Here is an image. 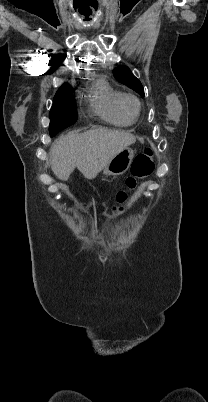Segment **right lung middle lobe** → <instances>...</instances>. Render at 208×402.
Segmentation results:
<instances>
[{
    "label": "right lung middle lobe",
    "instance_id": "dd1d6c3e",
    "mask_svg": "<svg viewBox=\"0 0 208 402\" xmlns=\"http://www.w3.org/2000/svg\"><path fill=\"white\" fill-rule=\"evenodd\" d=\"M76 120L77 112L72 92L55 96L50 111V124L59 123L68 127Z\"/></svg>",
    "mask_w": 208,
    "mask_h": 402
}]
</instances>
